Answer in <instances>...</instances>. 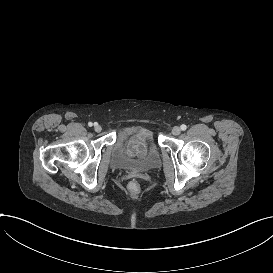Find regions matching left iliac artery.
<instances>
[{
	"mask_svg": "<svg viewBox=\"0 0 273 273\" xmlns=\"http://www.w3.org/2000/svg\"><path fill=\"white\" fill-rule=\"evenodd\" d=\"M180 128H181L182 131H185V130L187 129V126H186L185 124H182V125L180 126Z\"/></svg>",
	"mask_w": 273,
	"mask_h": 273,
	"instance_id": "1",
	"label": "left iliac artery"
}]
</instances>
